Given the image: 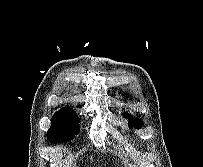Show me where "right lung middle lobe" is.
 <instances>
[{
    "label": "right lung middle lobe",
    "instance_id": "obj_1",
    "mask_svg": "<svg viewBox=\"0 0 203 167\" xmlns=\"http://www.w3.org/2000/svg\"><path fill=\"white\" fill-rule=\"evenodd\" d=\"M80 119L72 110L58 111L52 117V125L48 130V140L51 143L66 142L79 133Z\"/></svg>",
    "mask_w": 203,
    "mask_h": 167
}]
</instances>
